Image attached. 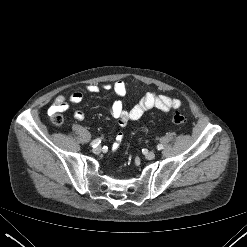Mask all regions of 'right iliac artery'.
<instances>
[{
	"label": "right iliac artery",
	"instance_id": "82829eb1",
	"mask_svg": "<svg viewBox=\"0 0 247 247\" xmlns=\"http://www.w3.org/2000/svg\"><path fill=\"white\" fill-rule=\"evenodd\" d=\"M100 142H101L100 138H97V139L93 140V141L90 143V145H91L92 147H96V146L99 145Z\"/></svg>",
	"mask_w": 247,
	"mask_h": 247
}]
</instances>
